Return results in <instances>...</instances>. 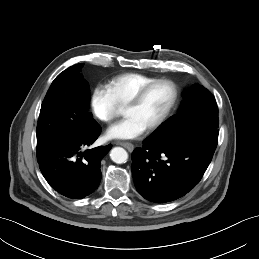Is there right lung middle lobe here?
<instances>
[{"mask_svg": "<svg viewBox=\"0 0 259 259\" xmlns=\"http://www.w3.org/2000/svg\"><path fill=\"white\" fill-rule=\"evenodd\" d=\"M76 64L60 73L42 102L37 124V146L55 135L73 134L95 122L89 109V84Z\"/></svg>", "mask_w": 259, "mask_h": 259, "instance_id": "1", "label": "right lung middle lobe"}]
</instances>
